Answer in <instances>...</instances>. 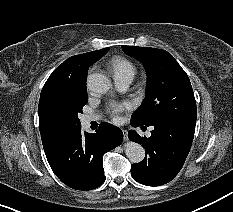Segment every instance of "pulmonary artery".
<instances>
[{"instance_id":"pulmonary-artery-1","label":"pulmonary artery","mask_w":233,"mask_h":212,"mask_svg":"<svg viewBox=\"0 0 233 212\" xmlns=\"http://www.w3.org/2000/svg\"><path fill=\"white\" fill-rule=\"evenodd\" d=\"M131 82H132V79L128 77L115 78V84L117 88L120 90L127 89L129 85L131 84ZM96 119H97L96 116H90V115H86L83 118L85 124H88L89 122L96 120Z\"/></svg>"}]
</instances>
